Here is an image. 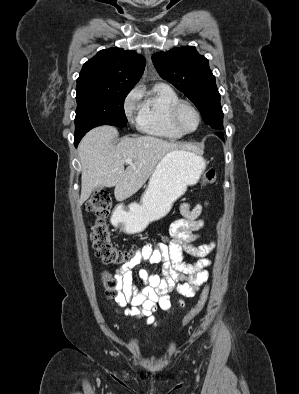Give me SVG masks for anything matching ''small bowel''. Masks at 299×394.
<instances>
[{
	"instance_id": "obj_1",
	"label": "small bowel",
	"mask_w": 299,
	"mask_h": 394,
	"mask_svg": "<svg viewBox=\"0 0 299 394\" xmlns=\"http://www.w3.org/2000/svg\"><path fill=\"white\" fill-rule=\"evenodd\" d=\"M203 207L202 203H197L193 207L189 203H182V218L172 222L169 227L172 237L170 244H145L131 261L117 269L115 278L118 287L114 304L123 308L120 313L125 316L143 317L145 324L152 325L153 313L157 307L165 311L171 309L169 292L176 290L181 296L192 297L208 280L209 274L205 268L210 266L211 261L207 255L215 244H192L201 238L200 230L205 225L204 219L200 218ZM184 253L198 260L195 263H186L183 260ZM142 262L161 263L162 271L151 273L139 267ZM135 269L137 277L145 284L142 288L136 285ZM179 302L183 304L182 300Z\"/></svg>"
}]
</instances>
